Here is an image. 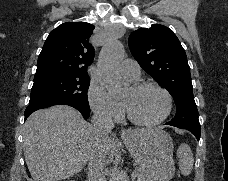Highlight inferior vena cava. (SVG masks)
Returning a JSON list of instances; mask_svg holds the SVG:
<instances>
[{
  "mask_svg": "<svg viewBox=\"0 0 228 181\" xmlns=\"http://www.w3.org/2000/svg\"><path fill=\"white\" fill-rule=\"evenodd\" d=\"M91 123L92 135L96 139V145L89 155L87 179L88 181H104L103 171L107 151L105 147H101V143L103 139H109V135L114 129L112 115L109 111H104L103 107H95Z\"/></svg>",
  "mask_w": 228,
  "mask_h": 181,
  "instance_id": "inferior-vena-cava-1",
  "label": "inferior vena cava"
}]
</instances>
